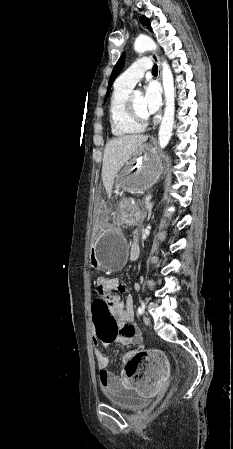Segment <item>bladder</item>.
<instances>
[{"mask_svg":"<svg viewBox=\"0 0 233 449\" xmlns=\"http://www.w3.org/2000/svg\"><path fill=\"white\" fill-rule=\"evenodd\" d=\"M107 401L123 410H137L150 404V399L138 396L133 389L121 386L104 389Z\"/></svg>","mask_w":233,"mask_h":449,"instance_id":"31cf9c89","label":"bladder"}]
</instances>
